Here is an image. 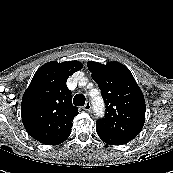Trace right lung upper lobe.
<instances>
[{
  "label": "right lung upper lobe",
  "mask_w": 173,
  "mask_h": 173,
  "mask_svg": "<svg viewBox=\"0 0 173 173\" xmlns=\"http://www.w3.org/2000/svg\"><path fill=\"white\" fill-rule=\"evenodd\" d=\"M82 67L78 61H51L36 71L22 98L21 117L28 134L39 142L56 145L69 137L78 110L66 81Z\"/></svg>",
  "instance_id": "1"
}]
</instances>
